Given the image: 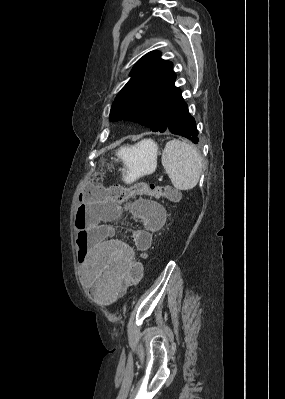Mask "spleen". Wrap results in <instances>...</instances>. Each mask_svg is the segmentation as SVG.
I'll return each mask as SVG.
<instances>
[{"label": "spleen", "mask_w": 285, "mask_h": 399, "mask_svg": "<svg viewBox=\"0 0 285 399\" xmlns=\"http://www.w3.org/2000/svg\"><path fill=\"white\" fill-rule=\"evenodd\" d=\"M162 165L179 190L194 188L202 171V159L192 145L177 139L170 140L162 153Z\"/></svg>", "instance_id": "spleen-1"}]
</instances>
